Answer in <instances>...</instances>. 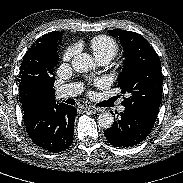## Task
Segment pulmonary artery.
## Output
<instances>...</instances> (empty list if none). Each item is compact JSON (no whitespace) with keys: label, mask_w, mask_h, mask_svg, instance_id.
Returning a JSON list of instances; mask_svg holds the SVG:
<instances>
[{"label":"pulmonary artery","mask_w":183,"mask_h":183,"mask_svg":"<svg viewBox=\"0 0 183 183\" xmlns=\"http://www.w3.org/2000/svg\"><path fill=\"white\" fill-rule=\"evenodd\" d=\"M110 60L108 59H99L98 62L101 65H106L109 63ZM82 90V87L80 84L77 83H71V84H65L60 86L57 90H56V98L57 99H63V98H69V97H74L76 95H78ZM125 107L124 106H120L119 107V111L120 112H124Z\"/></svg>","instance_id":"1"}]
</instances>
